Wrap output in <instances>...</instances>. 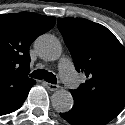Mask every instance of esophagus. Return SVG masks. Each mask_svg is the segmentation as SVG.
I'll list each match as a JSON object with an SVG mask.
<instances>
[{
	"instance_id": "1",
	"label": "esophagus",
	"mask_w": 125,
	"mask_h": 125,
	"mask_svg": "<svg viewBox=\"0 0 125 125\" xmlns=\"http://www.w3.org/2000/svg\"><path fill=\"white\" fill-rule=\"evenodd\" d=\"M45 86L50 90V91H56L59 86L56 84H52V83H48V82H44Z\"/></svg>"
}]
</instances>
